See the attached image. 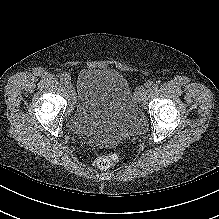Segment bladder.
Wrapping results in <instances>:
<instances>
[{
  "mask_svg": "<svg viewBox=\"0 0 219 219\" xmlns=\"http://www.w3.org/2000/svg\"><path fill=\"white\" fill-rule=\"evenodd\" d=\"M76 95L75 108L67 117L71 132L96 133L107 142H114L145 130L142 109L119 72L84 69L78 78Z\"/></svg>",
  "mask_w": 219,
  "mask_h": 219,
  "instance_id": "bladder-1",
  "label": "bladder"
}]
</instances>
